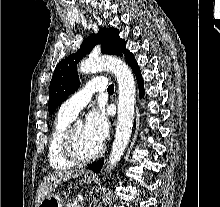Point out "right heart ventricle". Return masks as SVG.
I'll return each mask as SVG.
<instances>
[{
	"mask_svg": "<svg viewBox=\"0 0 220 207\" xmlns=\"http://www.w3.org/2000/svg\"><path fill=\"white\" fill-rule=\"evenodd\" d=\"M72 119V117L59 112L53 124L48 144V160L53 169H69L74 165L64 157L61 147L63 134Z\"/></svg>",
	"mask_w": 220,
	"mask_h": 207,
	"instance_id": "obj_1",
	"label": "right heart ventricle"
}]
</instances>
